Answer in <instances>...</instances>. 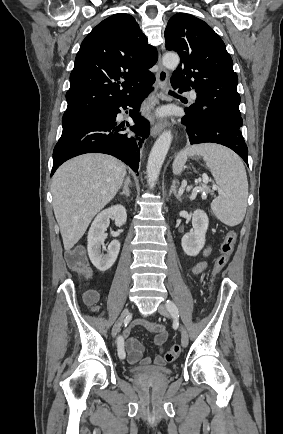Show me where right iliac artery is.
<instances>
[{"label": "right iliac artery", "mask_w": 283, "mask_h": 434, "mask_svg": "<svg viewBox=\"0 0 283 434\" xmlns=\"http://www.w3.org/2000/svg\"><path fill=\"white\" fill-rule=\"evenodd\" d=\"M122 347H123V342H122V337L120 336L117 341L118 356L119 358L124 359L125 353L122 351Z\"/></svg>", "instance_id": "right-iliac-artery-1"}]
</instances>
